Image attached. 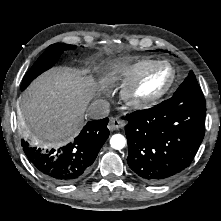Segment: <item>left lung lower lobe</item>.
<instances>
[{
	"instance_id": "obj_1",
	"label": "left lung lower lobe",
	"mask_w": 221,
	"mask_h": 221,
	"mask_svg": "<svg viewBox=\"0 0 221 221\" xmlns=\"http://www.w3.org/2000/svg\"><path fill=\"white\" fill-rule=\"evenodd\" d=\"M206 107L170 99L126 116L127 162L145 182H166L188 167L204 137Z\"/></svg>"
}]
</instances>
